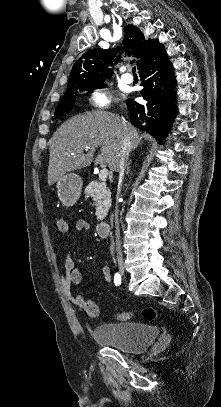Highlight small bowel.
Returning a JSON list of instances; mask_svg holds the SVG:
<instances>
[{
    "label": "small bowel",
    "mask_w": 221,
    "mask_h": 407,
    "mask_svg": "<svg viewBox=\"0 0 221 407\" xmlns=\"http://www.w3.org/2000/svg\"><path fill=\"white\" fill-rule=\"evenodd\" d=\"M74 229L77 232H84L88 231L90 229V225L88 222H86L84 219H78L74 223ZM61 243H56L53 248V257L55 259L58 258L60 249H61ZM103 274L105 277L106 282L111 281V272L109 267L105 266L103 267ZM83 279V274L82 270L79 267H75V264L71 258V255L68 254L65 258L64 261V271L60 276V287L64 294L66 295L67 299L69 302L77 308H83L84 307V298L81 294H74L72 292V286H80L81 282Z\"/></svg>",
    "instance_id": "obj_1"
}]
</instances>
